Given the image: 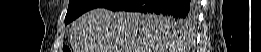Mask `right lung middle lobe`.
I'll return each instance as SVG.
<instances>
[{"instance_id":"dd1d6c3e","label":"right lung middle lobe","mask_w":261,"mask_h":52,"mask_svg":"<svg viewBox=\"0 0 261 52\" xmlns=\"http://www.w3.org/2000/svg\"><path fill=\"white\" fill-rule=\"evenodd\" d=\"M109 0H70L67 15L65 18V24L71 22L72 20L76 19L78 16L91 10L93 8L102 7L103 5L107 4ZM162 16V15H161ZM193 18H185L180 19L175 16H162L164 21H167L171 24L181 25L182 23L191 22Z\"/></svg>"}]
</instances>
